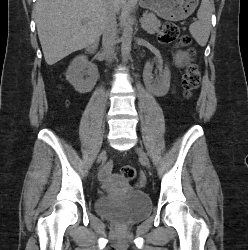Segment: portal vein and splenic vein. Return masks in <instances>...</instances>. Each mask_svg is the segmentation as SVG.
I'll return each instance as SVG.
<instances>
[{
  "label": "portal vein and splenic vein",
  "mask_w": 248,
  "mask_h": 250,
  "mask_svg": "<svg viewBox=\"0 0 248 250\" xmlns=\"http://www.w3.org/2000/svg\"><path fill=\"white\" fill-rule=\"evenodd\" d=\"M144 21H145L144 18H141V19H140L141 24H142Z\"/></svg>",
  "instance_id": "18ae733b"
}]
</instances>
